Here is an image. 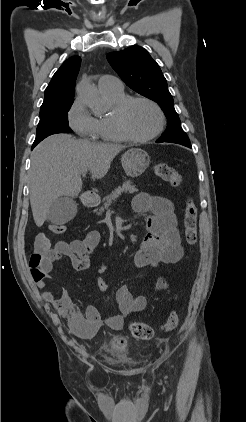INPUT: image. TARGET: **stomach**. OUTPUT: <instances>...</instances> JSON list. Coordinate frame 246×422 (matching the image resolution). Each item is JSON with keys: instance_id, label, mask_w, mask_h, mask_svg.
Returning a JSON list of instances; mask_svg holds the SVG:
<instances>
[{"instance_id": "obj_1", "label": "stomach", "mask_w": 246, "mask_h": 422, "mask_svg": "<svg viewBox=\"0 0 246 422\" xmlns=\"http://www.w3.org/2000/svg\"><path fill=\"white\" fill-rule=\"evenodd\" d=\"M121 162L126 174L134 178L146 170L150 163V157L142 149L131 148L122 155Z\"/></svg>"}]
</instances>
